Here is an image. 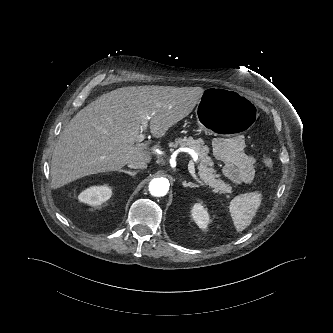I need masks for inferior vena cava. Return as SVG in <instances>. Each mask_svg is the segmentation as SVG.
Instances as JSON below:
<instances>
[{"instance_id":"inferior-vena-cava-1","label":"inferior vena cava","mask_w":333,"mask_h":333,"mask_svg":"<svg viewBox=\"0 0 333 333\" xmlns=\"http://www.w3.org/2000/svg\"><path fill=\"white\" fill-rule=\"evenodd\" d=\"M128 167L132 169H145L147 163L143 160H131L128 162Z\"/></svg>"}]
</instances>
